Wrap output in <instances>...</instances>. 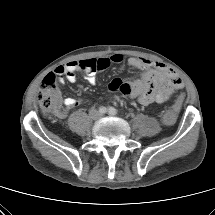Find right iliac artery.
<instances>
[{"mask_svg": "<svg viewBox=\"0 0 215 215\" xmlns=\"http://www.w3.org/2000/svg\"><path fill=\"white\" fill-rule=\"evenodd\" d=\"M107 112V108L106 107H100L99 108V113H101V114H105Z\"/></svg>", "mask_w": 215, "mask_h": 215, "instance_id": "right-iliac-artery-1", "label": "right iliac artery"}]
</instances>
